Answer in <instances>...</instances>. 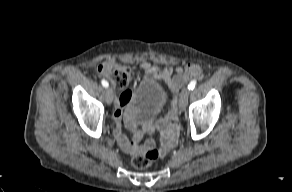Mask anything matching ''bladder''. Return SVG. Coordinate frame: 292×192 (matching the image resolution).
Listing matches in <instances>:
<instances>
[{
    "mask_svg": "<svg viewBox=\"0 0 292 192\" xmlns=\"http://www.w3.org/2000/svg\"><path fill=\"white\" fill-rule=\"evenodd\" d=\"M167 100L165 88L155 79H146L133 92L129 113L135 120L151 119L163 111Z\"/></svg>",
    "mask_w": 292,
    "mask_h": 192,
    "instance_id": "1",
    "label": "bladder"
}]
</instances>
